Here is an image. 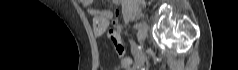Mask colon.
I'll use <instances>...</instances> for the list:
<instances>
[{"label": "colon", "instance_id": "colon-1", "mask_svg": "<svg viewBox=\"0 0 238 70\" xmlns=\"http://www.w3.org/2000/svg\"><path fill=\"white\" fill-rule=\"evenodd\" d=\"M109 40L112 42V44L115 46L117 50V54H124V47L121 42V36L119 33H117L115 30H110L108 33ZM125 64L127 67L131 66V61L126 59Z\"/></svg>", "mask_w": 238, "mask_h": 70}]
</instances>
